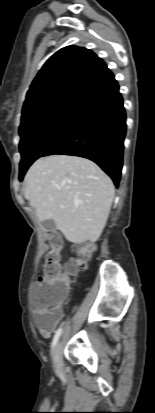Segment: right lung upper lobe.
Returning <instances> with one entry per match:
<instances>
[{
  "mask_svg": "<svg viewBox=\"0 0 155 413\" xmlns=\"http://www.w3.org/2000/svg\"><path fill=\"white\" fill-rule=\"evenodd\" d=\"M114 75L91 50L68 46L51 56L39 71L24 102L21 125L65 104H79Z\"/></svg>",
  "mask_w": 155,
  "mask_h": 413,
  "instance_id": "cb5924a9",
  "label": "right lung upper lobe"
}]
</instances>
